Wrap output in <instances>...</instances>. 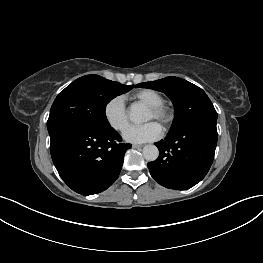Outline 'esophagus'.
<instances>
[{
  "mask_svg": "<svg viewBox=\"0 0 263 263\" xmlns=\"http://www.w3.org/2000/svg\"><path fill=\"white\" fill-rule=\"evenodd\" d=\"M143 147V145H138V144H133L132 145V148H134V149H139V148H142Z\"/></svg>",
  "mask_w": 263,
  "mask_h": 263,
  "instance_id": "obj_1",
  "label": "esophagus"
}]
</instances>
